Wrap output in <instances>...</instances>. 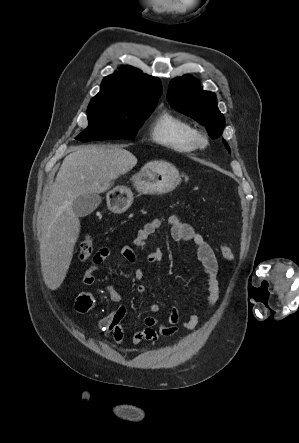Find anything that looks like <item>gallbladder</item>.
<instances>
[{"instance_id":"bac80fb5","label":"gallbladder","mask_w":299,"mask_h":443,"mask_svg":"<svg viewBox=\"0 0 299 443\" xmlns=\"http://www.w3.org/2000/svg\"><path fill=\"white\" fill-rule=\"evenodd\" d=\"M101 204V197L97 193H87L77 197L72 203V209L76 216L85 217L90 215Z\"/></svg>"}]
</instances>
